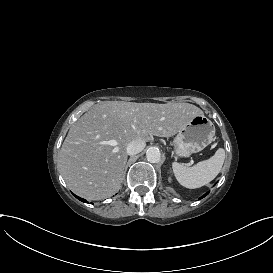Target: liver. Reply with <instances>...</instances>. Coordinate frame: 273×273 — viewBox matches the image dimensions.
<instances>
[{"label":"liver","mask_w":273,"mask_h":273,"mask_svg":"<svg viewBox=\"0 0 273 273\" xmlns=\"http://www.w3.org/2000/svg\"><path fill=\"white\" fill-rule=\"evenodd\" d=\"M203 111L189 103L105 102L75 122L60 151V170L69 188L86 200L117 193L127 162V145L151 135H175Z\"/></svg>","instance_id":"1"}]
</instances>
